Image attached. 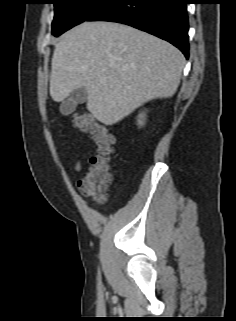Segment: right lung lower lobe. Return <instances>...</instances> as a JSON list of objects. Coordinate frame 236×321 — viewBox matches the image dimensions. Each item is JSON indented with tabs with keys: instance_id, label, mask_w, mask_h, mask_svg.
Segmentation results:
<instances>
[{
	"instance_id": "right-lung-lower-lobe-1",
	"label": "right lung lower lobe",
	"mask_w": 236,
	"mask_h": 321,
	"mask_svg": "<svg viewBox=\"0 0 236 321\" xmlns=\"http://www.w3.org/2000/svg\"><path fill=\"white\" fill-rule=\"evenodd\" d=\"M187 0H109L85 21L127 24L164 39L189 57Z\"/></svg>"
}]
</instances>
